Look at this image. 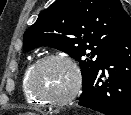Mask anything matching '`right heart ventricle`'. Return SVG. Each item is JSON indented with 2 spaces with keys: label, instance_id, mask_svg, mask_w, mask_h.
Instances as JSON below:
<instances>
[{
  "label": "right heart ventricle",
  "instance_id": "obj_1",
  "mask_svg": "<svg viewBox=\"0 0 131 115\" xmlns=\"http://www.w3.org/2000/svg\"><path fill=\"white\" fill-rule=\"evenodd\" d=\"M36 61H31L24 69L22 76H21V82H20V87L22 94L26 100L27 103H29L32 106L35 107H40L43 105V103L34 97L32 93L30 92L29 86H28V81H29V74L35 65Z\"/></svg>",
  "mask_w": 131,
  "mask_h": 115
}]
</instances>
